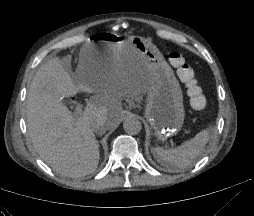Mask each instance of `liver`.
I'll use <instances>...</instances> for the list:
<instances>
[{
    "instance_id": "liver-1",
    "label": "liver",
    "mask_w": 254,
    "mask_h": 216,
    "mask_svg": "<svg viewBox=\"0 0 254 216\" xmlns=\"http://www.w3.org/2000/svg\"><path fill=\"white\" fill-rule=\"evenodd\" d=\"M89 51V44L81 48L74 74L60 58L48 60L36 72L27 97V129L36 152L52 169L69 177L88 175L98 166L99 144L92 123L104 118L108 127L116 125L121 100L145 95L150 83L143 62L95 72L88 64ZM78 91L96 94L82 116L75 118L62 99Z\"/></svg>"
}]
</instances>
